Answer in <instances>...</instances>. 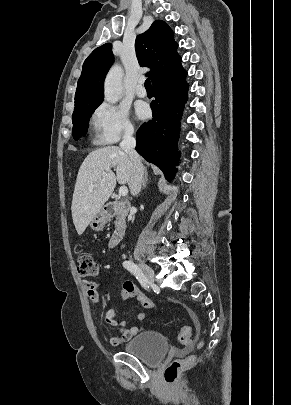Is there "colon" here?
<instances>
[{
  "mask_svg": "<svg viewBox=\"0 0 291 405\" xmlns=\"http://www.w3.org/2000/svg\"><path fill=\"white\" fill-rule=\"evenodd\" d=\"M78 273L82 277H97L100 274V267L90 253H81L78 256ZM123 299L136 297L143 307L157 311L156 304L140 293L138 288L131 282H125L122 289ZM179 341L184 345H189L193 342L192 330L189 326L181 328L179 333ZM194 361L193 356H188L183 359H177L171 362L164 371V379L166 383L173 384L176 382L179 372L182 368L190 366Z\"/></svg>",
  "mask_w": 291,
  "mask_h": 405,
  "instance_id": "obj_1",
  "label": "colon"
}]
</instances>
